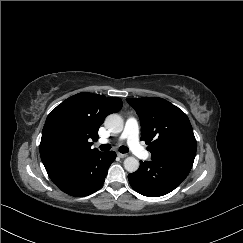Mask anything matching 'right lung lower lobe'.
Wrapping results in <instances>:
<instances>
[{
	"mask_svg": "<svg viewBox=\"0 0 243 243\" xmlns=\"http://www.w3.org/2000/svg\"><path fill=\"white\" fill-rule=\"evenodd\" d=\"M114 151L98 152L84 159L47 169L51 180L65 193L82 197L98 190L104 183Z\"/></svg>",
	"mask_w": 243,
	"mask_h": 243,
	"instance_id": "1",
	"label": "right lung lower lobe"
}]
</instances>
